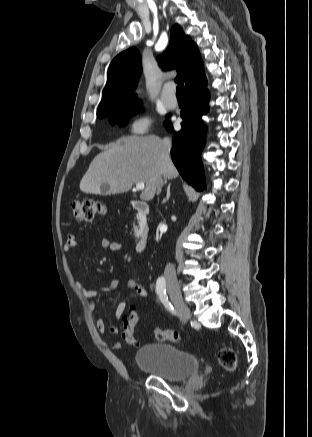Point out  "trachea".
I'll return each mask as SVG.
<instances>
[{"label":"trachea","mask_w":312,"mask_h":437,"mask_svg":"<svg viewBox=\"0 0 312 437\" xmlns=\"http://www.w3.org/2000/svg\"><path fill=\"white\" fill-rule=\"evenodd\" d=\"M177 96H184L183 83L178 84L177 88Z\"/></svg>","instance_id":"trachea-1"}]
</instances>
